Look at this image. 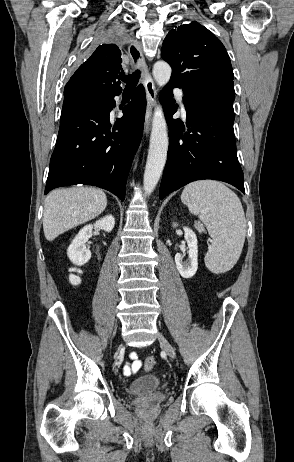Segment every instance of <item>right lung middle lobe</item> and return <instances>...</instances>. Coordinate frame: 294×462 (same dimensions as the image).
<instances>
[{
    "instance_id": "obj_1",
    "label": "right lung middle lobe",
    "mask_w": 294,
    "mask_h": 462,
    "mask_svg": "<svg viewBox=\"0 0 294 462\" xmlns=\"http://www.w3.org/2000/svg\"><path fill=\"white\" fill-rule=\"evenodd\" d=\"M123 32L120 28L113 27L105 30L104 32L100 33L97 39V43H108L111 41H118L122 38ZM100 97L86 95V96H76L73 98H69L64 100L62 112L71 108L77 107H86L90 104L95 103L99 100Z\"/></svg>"
}]
</instances>
